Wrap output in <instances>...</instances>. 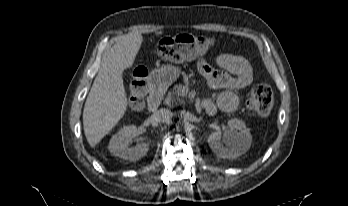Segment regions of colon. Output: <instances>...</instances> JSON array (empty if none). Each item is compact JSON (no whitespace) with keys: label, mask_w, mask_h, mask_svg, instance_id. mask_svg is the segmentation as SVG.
Listing matches in <instances>:
<instances>
[{"label":"colon","mask_w":348,"mask_h":206,"mask_svg":"<svg viewBox=\"0 0 348 206\" xmlns=\"http://www.w3.org/2000/svg\"><path fill=\"white\" fill-rule=\"evenodd\" d=\"M198 37L188 34H178L162 39L157 47L158 57L162 60L180 62L193 54V48ZM148 75L144 67H137L133 71L130 84L131 107H140L145 94V79ZM274 98L272 90L267 85H256L251 90L247 107L257 116H265L273 108Z\"/></svg>","instance_id":"5ec220e1"}]
</instances>
